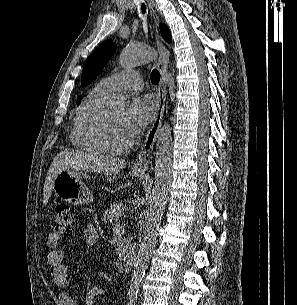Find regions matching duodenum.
Segmentation results:
<instances>
[{"label": "duodenum", "mask_w": 297, "mask_h": 305, "mask_svg": "<svg viewBox=\"0 0 297 305\" xmlns=\"http://www.w3.org/2000/svg\"><path fill=\"white\" fill-rule=\"evenodd\" d=\"M135 259H136V251H135L134 246H132L127 251L126 258L124 261V271L125 272L131 271V269L134 265Z\"/></svg>", "instance_id": "obj_1"}]
</instances>
